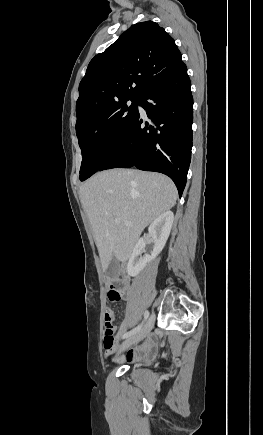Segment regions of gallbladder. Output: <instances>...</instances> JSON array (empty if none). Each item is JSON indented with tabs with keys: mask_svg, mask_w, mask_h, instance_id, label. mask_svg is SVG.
Wrapping results in <instances>:
<instances>
[{
	"mask_svg": "<svg viewBox=\"0 0 263 435\" xmlns=\"http://www.w3.org/2000/svg\"><path fill=\"white\" fill-rule=\"evenodd\" d=\"M120 270V265L117 259L113 257L106 269V275L109 278H117L120 275Z\"/></svg>",
	"mask_w": 263,
	"mask_h": 435,
	"instance_id": "bac80fb5",
	"label": "gallbladder"
}]
</instances>
